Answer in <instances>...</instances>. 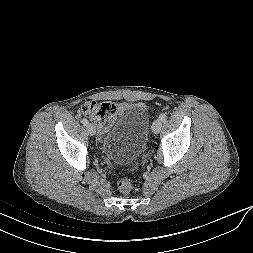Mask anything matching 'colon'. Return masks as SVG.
I'll return each instance as SVG.
<instances>
[{"instance_id":"5ec220e1","label":"colon","mask_w":253,"mask_h":253,"mask_svg":"<svg viewBox=\"0 0 253 253\" xmlns=\"http://www.w3.org/2000/svg\"><path fill=\"white\" fill-rule=\"evenodd\" d=\"M117 106L112 102L88 101L81 105L82 114L91 117L101 130H105L113 121ZM133 184L129 179H122L118 183V189L122 193L132 190Z\"/></svg>"}]
</instances>
